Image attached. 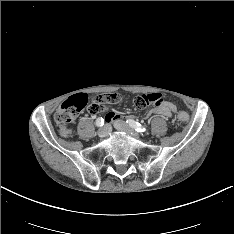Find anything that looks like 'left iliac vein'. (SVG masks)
<instances>
[{
  "label": "left iliac vein",
  "mask_w": 234,
  "mask_h": 234,
  "mask_svg": "<svg viewBox=\"0 0 234 234\" xmlns=\"http://www.w3.org/2000/svg\"><path fill=\"white\" fill-rule=\"evenodd\" d=\"M114 127L121 132H126L128 134H131L133 137L135 138H139V134L135 133L133 131V129L125 122L121 121V120H116L114 122Z\"/></svg>",
  "instance_id": "4c4485c4"
}]
</instances>
